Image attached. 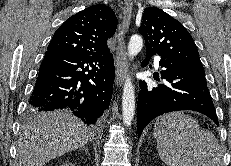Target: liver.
I'll return each mask as SVG.
<instances>
[{"label":"liver","instance_id":"6515ba94","mask_svg":"<svg viewBox=\"0 0 231 166\" xmlns=\"http://www.w3.org/2000/svg\"><path fill=\"white\" fill-rule=\"evenodd\" d=\"M90 129L68 111L34 116L17 141L19 166H43L50 160L81 148L91 140Z\"/></svg>","mask_w":231,"mask_h":166}]
</instances>
